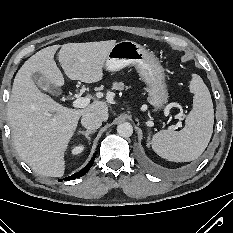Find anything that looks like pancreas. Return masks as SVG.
<instances>
[{"mask_svg": "<svg viewBox=\"0 0 233 233\" xmlns=\"http://www.w3.org/2000/svg\"><path fill=\"white\" fill-rule=\"evenodd\" d=\"M112 89L123 90L124 84L122 82H114L112 85Z\"/></svg>", "mask_w": 233, "mask_h": 233, "instance_id": "pancreas-1", "label": "pancreas"}]
</instances>
